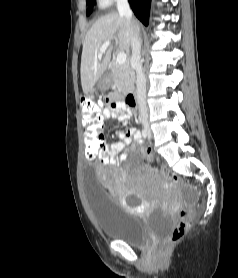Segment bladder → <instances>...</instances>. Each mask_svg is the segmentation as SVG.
Listing matches in <instances>:
<instances>
[{"instance_id": "31cf9c89", "label": "bladder", "mask_w": 238, "mask_h": 278, "mask_svg": "<svg viewBox=\"0 0 238 278\" xmlns=\"http://www.w3.org/2000/svg\"><path fill=\"white\" fill-rule=\"evenodd\" d=\"M84 180H96L95 169H84ZM88 203L99 231L107 238L121 240L132 246L144 245L153 234L172 228L170 215L157 213L149 220L132 214L104 188L99 181H86Z\"/></svg>"}]
</instances>
